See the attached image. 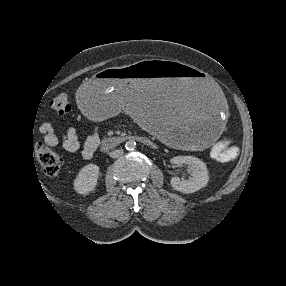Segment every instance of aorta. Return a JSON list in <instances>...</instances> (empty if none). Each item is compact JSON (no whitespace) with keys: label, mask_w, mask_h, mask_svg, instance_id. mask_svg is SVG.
<instances>
[{"label":"aorta","mask_w":286,"mask_h":286,"mask_svg":"<svg viewBox=\"0 0 286 286\" xmlns=\"http://www.w3.org/2000/svg\"><path fill=\"white\" fill-rule=\"evenodd\" d=\"M126 150H134L136 148V142L134 140H129L125 143Z\"/></svg>","instance_id":"aorta-1"}]
</instances>
